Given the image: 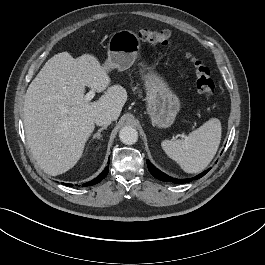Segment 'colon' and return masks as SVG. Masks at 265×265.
<instances>
[{
  "mask_svg": "<svg viewBox=\"0 0 265 265\" xmlns=\"http://www.w3.org/2000/svg\"><path fill=\"white\" fill-rule=\"evenodd\" d=\"M138 37L141 41L150 44L168 45L173 42V35L169 30L141 29L138 32ZM186 56L193 63L198 92L203 95L206 101H212L216 96V88L210 68L204 60L193 57L191 53H186Z\"/></svg>",
  "mask_w": 265,
  "mask_h": 265,
  "instance_id": "obj_1",
  "label": "colon"
}]
</instances>
